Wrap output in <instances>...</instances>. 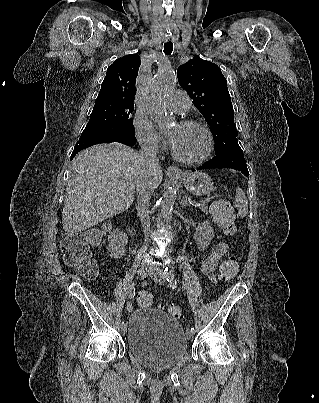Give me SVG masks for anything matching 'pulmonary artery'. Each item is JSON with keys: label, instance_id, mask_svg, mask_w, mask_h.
<instances>
[{"label": "pulmonary artery", "instance_id": "pulmonary-artery-1", "mask_svg": "<svg viewBox=\"0 0 319 403\" xmlns=\"http://www.w3.org/2000/svg\"><path fill=\"white\" fill-rule=\"evenodd\" d=\"M167 104L176 112H185L190 106V99L184 92L174 90L168 95Z\"/></svg>", "mask_w": 319, "mask_h": 403}]
</instances>
